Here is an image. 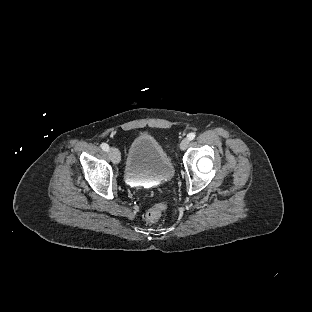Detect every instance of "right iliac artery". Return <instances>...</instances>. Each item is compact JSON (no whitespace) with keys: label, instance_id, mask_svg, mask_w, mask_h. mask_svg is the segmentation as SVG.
<instances>
[{"label":"right iliac artery","instance_id":"82829eb1","mask_svg":"<svg viewBox=\"0 0 312 312\" xmlns=\"http://www.w3.org/2000/svg\"><path fill=\"white\" fill-rule=\"evenodd\" d=\"M100 146H101V148H102L104 151L108 152V150H109V145H108V144L102 143Z\"/></svg>","mask_w":312,"mask_h":312}]
</instances>
